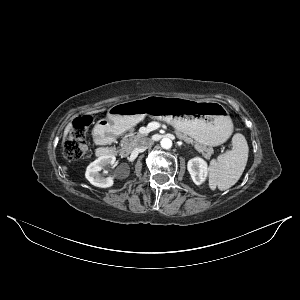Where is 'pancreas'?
I'll use <instances>...</instances> for the list:
<instances>
[{
	"label": "pancreas",
	"mask_w": 300,
	"mask_h": 300,
	"mask_svg": "<svg viewBox=\"0 0 300 300\" xmlns=\"http://www.w3.org/2000/svg\"><path fill=\"white\" fill-rule=\"evenodd\" d=\"M175 134L179 139L184 140L186 143L194 144L195 149L200 152L206 159H209L213 154V149L211 147H207L199 142H195L191 137L181 133L180 131H175ZM144 137V134L134 135L133 130H131V132L125 135L121 140L120 153L128 154L135 146L140 143L141 139Z\"/></svg>",
	"instance_id": "obj_1"
}]
</instances>
